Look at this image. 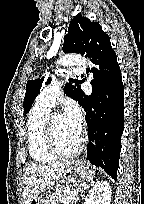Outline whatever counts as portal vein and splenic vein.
<instances>
[{"mask_svg": "<svg viewBox=\"0 0 144 204\" xmlns=\"http://www.w3.org/2000/svg\"><path fill=\"white\" fill-rule=\"evenodd\" d=\"M65 192H67V193H71V195H73V196H77L78 195V191L77 190H65Z\"/></svg>", "mask_w": 144, "mask_h": 204, "instance_id": "obj_1", "label": "portal vein and splenic vein"}]
</instances>
